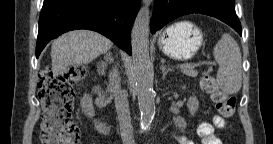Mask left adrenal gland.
<instances>
[{
	"label": "left adrenal gland",
	"mask_w": 273,
	"mask_h": 144,
	"mask_svg": "<svg viewBox=\"0 0 273 144\" xmlns=\"http://www.w3.org/2000/svg\"><path fill=\"white\" fill-rule=\"evenodd\" d=\"M160 68H161V70H162V74H163L162 78H163V79H165V77H166V75H167V73H168L169 71H172V69L166 67V65L164 64L163 61H162V64H161V67H160Z\"/></svg>",
	"instance_id": "obj_1"
}]
</instances>
